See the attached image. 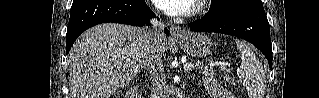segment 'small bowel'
<instances>
[{"instance_id":"c3829d8e","label":"small bowel","mask_w":319,"mask_h":98,"mask_svg":"<svg viewBox=\"0 0 319 98\" xmlns=\"http://www.w3.org/2000/svg\"><path fill=\"white\" fill-rule=\"evenodd\" d=\"M207 88L212 92L213 98H233L223 87L213 81L207 82Z\"/></svg>"}]
</instances>
